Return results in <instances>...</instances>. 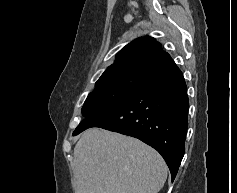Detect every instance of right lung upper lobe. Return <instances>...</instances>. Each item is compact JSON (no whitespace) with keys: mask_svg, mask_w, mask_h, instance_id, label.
I'll use <instances>...</instances> for the list:
<instances>
[{"mask_svg":"<svg viewBox=\"0 0 237 193\" xmlns=\"http://www.w3.org/2000/svg\"><path fill=\"white\" fill-rule=\"evenodd\" d=\"M164 53L166 52L162 50L161 44L151 37L135 39L118 52L115 62L105 70L99 80L131 71L146 72Z\"/></svg>","mask_w":237,"mask_h":193,"instance_id":"obj_1","label":"right lung upper lobe"}]
</instances>
